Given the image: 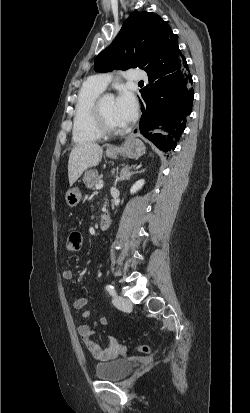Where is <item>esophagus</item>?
Listing matches in <instances>:
<instances>
[{
	"mask_svg": "<svg viewBox=\"0 0 250 413\" xmlns=\"http://www.w3.org/2000/svg\"><path fill=\"white\" fill-rule=\"evenodd\" d=\"M138 132H139V131H138V128H135V129L132 131L131 135H132V136H135V135L138 134ZM108 150H110V151H115L116 148H115L114 146H109Z\"/></svg>",
	"mask_w": 250,
	"mask_h": 413,
	"instance_id": "34e87169",
	"label": "esophagus"
}]
</instances>
